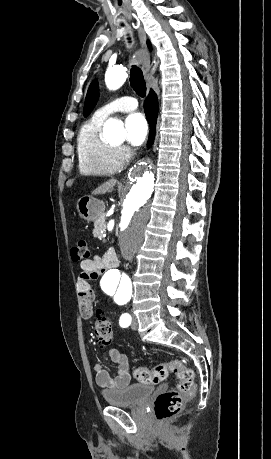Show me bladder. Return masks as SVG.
I'll use <instances>...</instances> for the list:
<instances>
[{"instance_id":"31cf9c89","label":"bladder","mask_w":271,"mask_h":459,"mask_svg":"<svg viewBox=\"0 0 271 459\" xmlns=\"http://www.w3.org/2000/svg\"><path fill=\"white\" fill-rule=\"evenodd\" d=\"M155 390V387L146 384H131L124 390H104V401L110 405H139L147 399Z\"/></svg>"}]
</instances>
